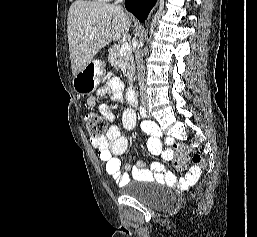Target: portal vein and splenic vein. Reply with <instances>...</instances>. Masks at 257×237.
I'll use <instances>...</instances> for the list:
<instances>
[{
	"label": "portal vein and splenic vein",
	"mask_w": 257,
	"mask_h": 237,
	"mask_svg": "<svg viewBox=\"0 0 257 237\" xmlns=\"http://www.w3.org/2000/svg\"><path fill=\"white\" fill-rule=\"evenodd\" d=\"M128 51H130V45L128 43H123L121 45V48L119 50V53L120 54H123V53H127Z\"/></svg>",
	"instance_id": "1"
}]
</instances>
